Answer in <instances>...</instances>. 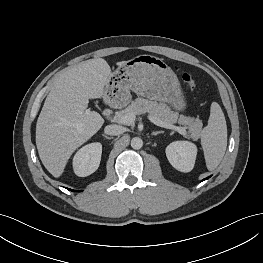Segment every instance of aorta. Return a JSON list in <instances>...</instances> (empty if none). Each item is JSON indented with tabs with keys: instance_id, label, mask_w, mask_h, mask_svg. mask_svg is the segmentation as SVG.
<instances>
[{
	"instance_id": "obj_1",
	"label": "aorta",
	"mask_w": 263,
	"mask_h": 263,
	"mask_svg": "<svg viewBox=\"0 0 263 263\" xmlns=\"http://www.w3.org/2000/svg\"><path fill=\"white\" fill-rule=\"evenodd\" d=\"M142 146H143V141H142L141 138H139V137L132 138V140H131V147L133 149L138 150V149L142 148Z\"/></svg>"
}]
</instances>
